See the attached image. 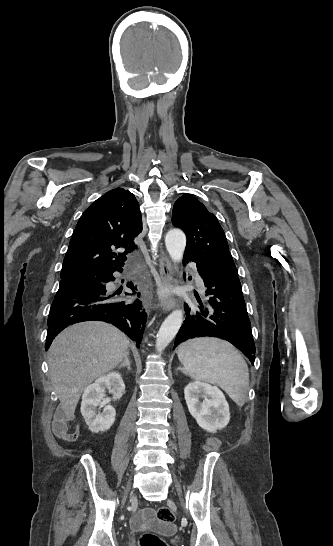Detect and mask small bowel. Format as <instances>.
<instances>
[{
	"mask_svg": "<svg viewBox=\"0 0 333 546\" xmlns=\"http://www.w3.org/2000/svg\"><path fill=\"white\" fill-rule=\"evenodd\" d=\"M53 431L55 435L68 442H74L78 439L80 431L79 428H75L69 431V424L67 418H58L53 422ZM154 521V512L152 509L146 508L136 514L131 522L134 529H140L144 526L150 525ZM168 528L170 526H167Z\"/></svg>",
	"mask_w": 333,
	"mask_h": 546,
	"instance_id": "c3829d8e",
	"label": "small bowel"
}]
</instances>
